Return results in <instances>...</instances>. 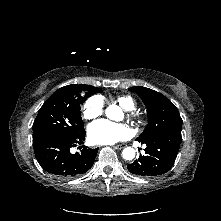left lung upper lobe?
I'll list each match as a JSON object with an SVG mask.
<instances>
[{"mask_svg": "<svg viewBox=\"0 0 221 221\" xmlns=\"http://www.w3.org/2000/svg\"><path fill=\"white\" fill-rule=\"evenodd\" d=\"M129 89L140 96L148 113V125L137 138L138 140L163 132L181 134L182 119L177 108L168 98L142 86Z\"/></svg>", "mask_w": 221, "mask_h": 221, "instance_id": "5c2ea615", "label": "left lung upper lobe"}]
</instances>
